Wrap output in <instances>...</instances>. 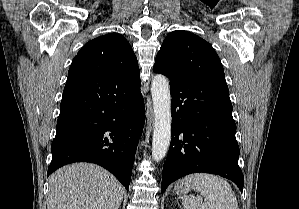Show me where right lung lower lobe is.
I'll return each mask as SVG.
<instances>
[{"mask_svg":"<svg viewBox=\"0 0 299 209\" xmlns=\"http://www.w3.org/2000/svg\"><path fill=\"white\" fill-rule=\"evenodd\" d=\"M145 122L140 78L118 75L67 81L47 176L73 162L96 163L127 189Z\"/></svg>","mask_w":299,"mask_h":209,"instance_id":"right-lung-lower-lobe-1","label":"right lung lower lobe"}]
</instances>
